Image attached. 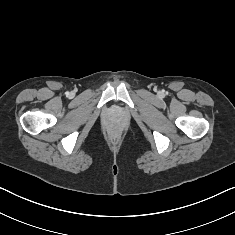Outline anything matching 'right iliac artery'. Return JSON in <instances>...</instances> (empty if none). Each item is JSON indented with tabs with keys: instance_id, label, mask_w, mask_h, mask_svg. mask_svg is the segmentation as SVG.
Masks as SVG:
<instances>
[{
	"instance_id": "obj_1",
	"label": "right iliac artery",
	"mask_w": 235,
	"mask_h": 235,
	"mask_svg": "<svg viewBox=\"0 0 235 235\" xmlns=\"http://www.w3.org/2000/svg\"><path fill=\"white\" fill-rule=\"evenodd\" d=\"M66 95L68 96V95H69V92H66Z\"/></svg>"
}]
</instances>
